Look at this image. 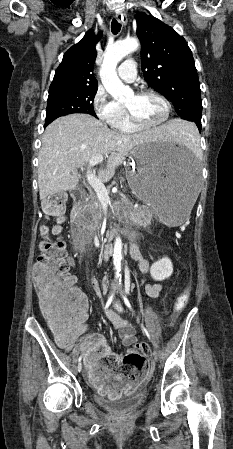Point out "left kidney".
<instances>
[{
  "mask_svg": "<svg viewBox=\"0 0 233 449\" xmlns=\"http://www.w3.org/2000/svg\"><path fill=\"white\" fill-rule=\"evenodd\" d=\"M173 273V264L168 257L152 264L150 268L151 277L156 281H163L169 278Z\"/></svg>",
  "mask_w": 233,
  "mask_h": 449,
  "instance_id": "obj_1",
  "label": "left kidney"
}]
</instances>
